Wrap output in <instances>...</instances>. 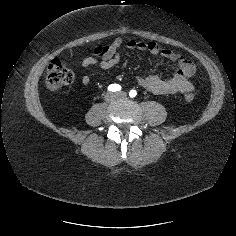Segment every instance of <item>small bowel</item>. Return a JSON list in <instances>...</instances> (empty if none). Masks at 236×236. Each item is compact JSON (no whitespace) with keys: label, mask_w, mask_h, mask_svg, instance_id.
<instances>
[{"label":"small bowel","mask_w":236,"mask_h":236,"mask_svg":"<svg viewBox=\"0 0 236 236\" xmlns=\"http://www.w3.org/2000/svg\"><path fill=\"white\" fill-rule=\"evenodd\" d=\"M122 44L121 39H115L110 45L98 47L95 56L85 57L81 61L82 68L99 65L103 69H109L116 66L120 63L119 49ZM125 46L129 50L149 51L152 54L161 55L176 62L178 65L174 75L166 80L154 75L136 77L137 83L144 89L157 95L184 94L194 90V85L190 78L195 72V66L183 54L168 48H162L155 42L128 40ZM81 83L83 86H89L91 78L88 75H84L81 78Z\"/></svg>","instance_id":"small-bowel-1"}]
</instances>
